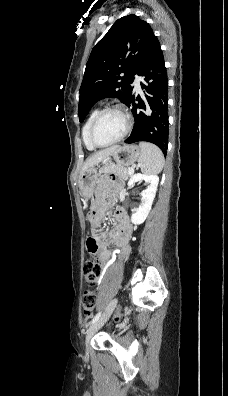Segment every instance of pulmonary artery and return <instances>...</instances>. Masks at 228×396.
<instances>
[{
    "mask_svg": "<svg viewBox=\"0 0 228 396\" xmlns=\"http://www.w3.org/2000/svg\"><path fill=\"white\" fill-rule=\"evenodd\" d=\"M140 81H141V78L140 77H137L136 79H135V81H134V87L137 89V90H140L141 89V84H140Z\"/></svg>",
    "mask_w": 228,
    "mask_h": 396,
    "instance_id": "obj_1",
    "label": "pulmonary artery"
}]
</instances>
